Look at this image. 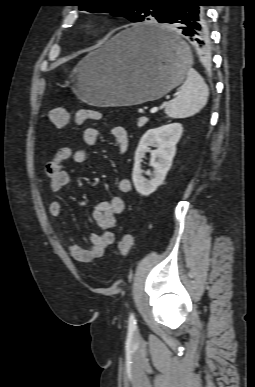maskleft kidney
Instances as JSON below:
<instances>
[{
    "mask_svg": "<svg viewBox=\"0 0 255 387\" xmlns=\"http://www.w3.org/2000/svg\"><path fill=\"white\" fill-rule=\"evenodd\" d=\"M183 127L180 123H171L159 128L149 129L141 138L134 157L132 180L138 193L148 196L161 185L169 171L176 153V144L181 138ZM151 147L156 149L151 150ZM149 152L153 177L147 180L141 168L142 159Z\"/></svg>",
    "mask_w": 255,
    "mask_h": 387,
    "instance_id": "left-kidney-1",
    "label": "left kidney"
}]
</instances>
